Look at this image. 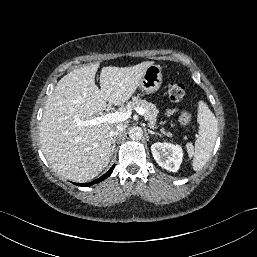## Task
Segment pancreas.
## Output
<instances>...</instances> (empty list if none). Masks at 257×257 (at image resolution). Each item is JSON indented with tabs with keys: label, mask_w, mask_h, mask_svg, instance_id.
<instances>
[{
	"label": "pancreas",
	"mask_w": 257,
	"mask_h": 257,
	"mask_svg": "<svg viewBox=\"0 0 257 257\" xmlns=\"http://www.w3.org/2000/svg\"><path fill=\"white\" fill-rule=\"evenodd\" d=\"M126 107L129 110H135L136 107H142L145 110L144 118L146 121H148V125L151 128H157L156 120L159 110L153 103L147 102L146 100H143L139 96H137L133 97L131 101L127 102ZM161 132L169 137L172 136L170 132H166L163 129L161 130Z\"/></svg>",
	"instance_id": "1"
}]
</instances>
